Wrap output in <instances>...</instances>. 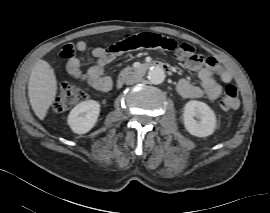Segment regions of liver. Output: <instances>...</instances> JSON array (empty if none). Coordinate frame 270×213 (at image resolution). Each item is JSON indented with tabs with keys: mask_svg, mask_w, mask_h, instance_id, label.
Segmentation results:
<instances>
[{
	"mask_svg": "<svg viewBox=\"0 0 270 213\" xmlns=\"http://www.w3.org/2000/svg\"><path fill=\"white\" fill-rule=\"evenodd\" d=\"M57 94V80L53 68L45 60H38L28 82V96L36 116L43 120Z\"/></svg>",
	"mask_w": 270,
	"mask_h": 213,
	"instance_id": "obj_1",
	"label": "liver"
}]
</instances>
